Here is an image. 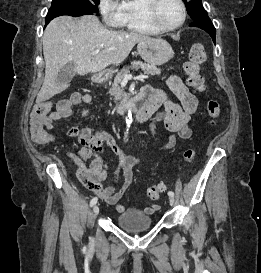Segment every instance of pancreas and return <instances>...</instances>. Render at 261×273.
Instances as JSON below:
<instances>
[{"mask_svg":"<svg viewBox=\"0 0 261 273\" xmlns=\"http://www.w3.org/2000/svg\"><path fill=\"white\" fill-rule=\"evenodd\" d=\"M141 69L142 71L149 73L151 75H160L161 69L156 67L155 65H151L148 63H143L141 61H132L130 65L123 67L120 71L117 72V75L114 78L112 83V87L110 88V95L114 96V101H120L121 96L125 98V93L122 92L119 84L124 79L126 74H130V71H135Z\"/></svg>","mask_w":261,"mask_h":273,"instance_id":"obj_1","label":"pancreas"}]
</instances>
